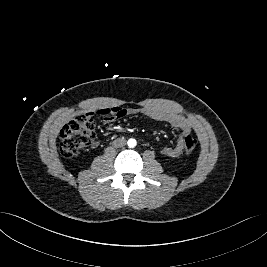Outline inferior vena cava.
I'll list each match as a JSON object with an SVG mask.
<instances>
[{
    "label": "inferior vena cava",
    "instance_id": "602c4592",
    "mask_svg": "<svg viewBox=\"0 0 267 267\" xmlns=\"http://www.w3.org/2000/svg\"><path fill=\"white\" fill-rule=\"evenodd\" d=\"M126 140L124 138H117L116 140L113 141V146L116 148H121L125 146Z\"/></svg>",
    "mask_w": 267,
    "mask_h": 267
}]
</instances>
